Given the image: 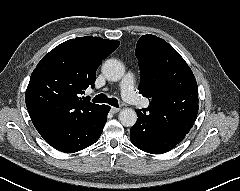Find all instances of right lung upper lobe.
<instances>
[{"label": "right lung upper lobe", "mask_w": 240, "mask_h": 191, "mask_svg": "<svg viewBox=\"0 0 240 191\" xmlns=\"http://www.w3.org/2000/svg\"><path fill=\"white\" fill-rule=\"evenodd\" d=\"M119 44L100 37H77L46 54L34 69L25 95L34 126L53 117H80L95 110L99 105L81 94L94 87L98 66Z\"/></svg>", "instance_id": "right-lung-upper-lobe-1"}]
</instances>
